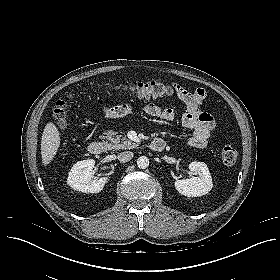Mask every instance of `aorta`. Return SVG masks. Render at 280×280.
I'll list each match as a JSON object with an SVG mask.
<instances>
[{"label":"aorta","mask_w":280,"mask_h":280,"mask_svg":"<svg viewBox=\"0 0 280 280\" xmlns=\"http://www.w3.org/2000/svg\"><path fill=\"white\" fill-rule=\"evenodd\" d=\"M137 166H138L140 169H146V168L149 166V159H148V157H146V156H140V157L137 159Z\"/></svg>","instance_id":"762f6f07"}]
</instances>
